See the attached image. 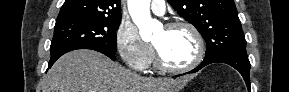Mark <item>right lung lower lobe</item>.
I'll use <instances>...</instances> for the list:
<instances>
[{
    "label": "right lung lower lobe",
    "instance_id": "1",
    "mask_svg": "<svg viewBox=\"0 0 289 92\" xmlns=\"http://www.w3.org/2000/svg\"><path fill=\"white\" fill-rule=\"evenodd\" d=\"M96 51H99V52L105 54L106 56H108L109 58H111L112 60H115V55L112 54V53H109V52H106V51H101V50H96ZM57 59H58V58H57ZM57 59H50L49 64H48V69L51 68V66L54 64V62H55ZM48 69H47V70H48Z\"/></svg>",
    "mask_w": 289,
    "mask_h": 92
}]
</instances>
